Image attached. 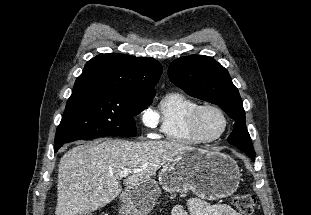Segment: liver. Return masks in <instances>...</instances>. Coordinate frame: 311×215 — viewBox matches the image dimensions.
I'll list each match as a JSON object with an SVG mask.
<instances>
[{
	"mask_svg": "<svg viewBox=\"0 0 311 215\" xmlns=\"http://www.w3.org/2000/svg\"><path fill=\"white\" fill-rule=\"evenodd\" d=\"M191 149L179 142L122 139L73 147L60 159L55 215H82L98 210L122 192V170L132 171L123 180L127 189L150 180L161 166Z\"/></svg>",
	"mask_w": 311,
	"mask_h": 215,
	"instance_id": "liver-1",
	"label": "liver"
}]
</instances>
